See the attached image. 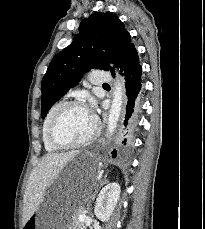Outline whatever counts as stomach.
<instances>
[{
    "instance_id": "0dacf381",
    "label": "stomach",
    "mask_w": 205,
    "mask_h": 229,
    "mask_svg": "<svg viewBox=\"0 0 205 229\" xmlns=\"http://www.w3.org/2000/svg\"><path fill=\"white\" fill-rule=\"evenodd\" d=\"M95 156L81 152L73 158L23 229H73V218L92 190L98 175Z\"/></svg>"
}]
</instances>
